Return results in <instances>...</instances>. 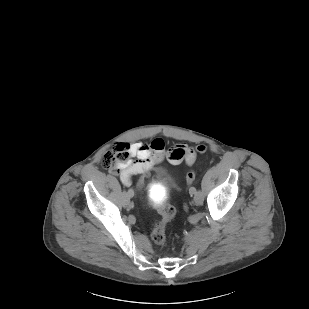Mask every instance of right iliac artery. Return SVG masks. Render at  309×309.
Instances as JSON below:
<instances>
[{"mask_svg":"<svg viewBox=\"0 0 309 309\" xmlns=\"http://www.w3.org/2000/svg\"><path fill=\"white\" fill-rule=\"evenodd\" d=\"M131 187V186H130ZM127 188V190H126V193H127V195H129V196H132V195H134V190L132 189V187L131 188Z\"/></svg>","mask_w":309,"mask_h":309,"instance_id":"right-iliac-artery-1","label":"right iliac artery"}]
</instances>
